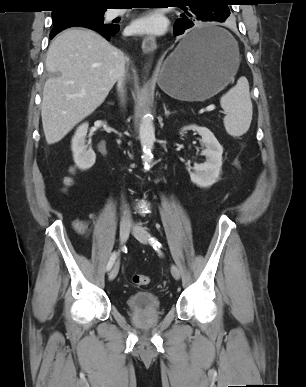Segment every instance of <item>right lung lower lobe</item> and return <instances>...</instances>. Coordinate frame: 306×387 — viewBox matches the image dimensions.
Here are the masks:
<instances>
[{"mask_svg":"<svg viewBox=\"0 0 306 387\" xmlns=\"http://www.w3.org/2000/svg\"><path fill=\"white\" fill-rule=\"evenodd\" d=\"M92 30L99 32L104 38L107 40L110 39L111 36L115 35L119 31V25L112 24V26H97V27H87ZM56 34L50 35L52 39Z\"/></svg>","mask_w":306,"mask_h":387,"instance_id":"98d812e1","label":"right lung lower lobe"}]
</instances>
